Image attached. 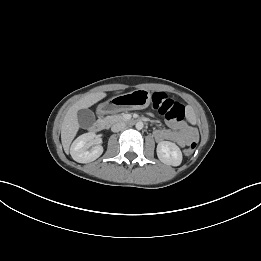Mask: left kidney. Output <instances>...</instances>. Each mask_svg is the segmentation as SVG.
<instances>
[{
	"label": "left kidney",
	"mask_w": 261,
	"mask_h": 261,
	"mask_svg": "<svg viewBox=\"0 0 261 261\" xmlns=\"http://www.w3.org/2000/svg\"><path fill=\"white\" fill-rule=\"evenodd\" d=\"M157 156L161 162L167 165L179 166L182 162L180 148L175 143L169 141L158 143Z\"/></svg>",
	"instance_id": "1"
}]
</instances>
